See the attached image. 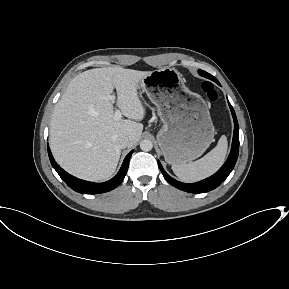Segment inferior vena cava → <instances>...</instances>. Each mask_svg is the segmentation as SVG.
Instances as JSON below:
<instances>
[{"label": "inferior vena cava", "mask_w": 289, "mask_h": 289, "mask_svg": "<svg viewBox=\"0 0 289 289\" xmlns=\"http://www.w3.org/2000/svg\"><path fill=\"white\" fill-rule=\"evenodd\" d=\"M117 144H118L119 148H121V149L128 147V145H129L128 137L122 136V137L118 138Z\"/></svg>", "instance_id": "obj_1"}]
</instances>
